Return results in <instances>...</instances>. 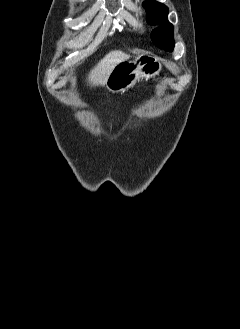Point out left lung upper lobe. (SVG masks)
Returning a JSON list of instances; mask_svg holds the SVG:
<instances>
[{"mask_svg":"<svg viewBox=\"0 0 240 329\" xmlns=\"http://www.w3.org/2000/svg\"><path fill=\"white\" fill-rule=\"evenodd\" d=\"M144 8L147 14V22L152 25L159 24V27L154 29L151 34L155 45L166 50H173L174 27L167 19L168 8L156 1L144 2Z\"/></svg>","mask_w":240,"mask_h":329,"instance_id":"1","label":"left lung upper lobe"}]
</instances>
